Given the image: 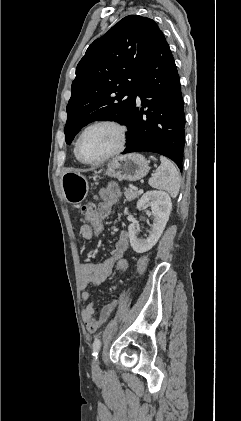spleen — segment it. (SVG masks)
I'll return each mask as SVG.
<instances>
[{
  "instance_id": "obj_1",
  "label": "spleen",
  "mask_w": 241,
  "mask_h": 421,
  "mask_svg": "<svg viewBox=\"0 0 241 421\" xmlns=\"http://www.w3.org/2000/svg\"><path fill=\"white\" fill-rule=\"evenodd\" d=\"M161 165L157 168L155 174L149 179L148 183L152 188L165 190L175 198L180 189V176L174 164L167 158L161 156Z\"/></svg>"
}]
</instances>
